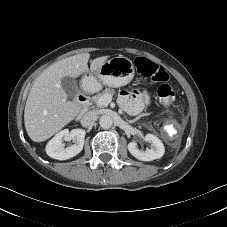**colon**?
<instances>
[{"label":"colon","instance_id":"1","mask_svg":"<svg viewBox=\"0 0 227 227\" xmlns=\"http://www.w3.org/2000/svg\"><path fill=\"white\" fill-rule=\"evenodd\" d=\"M136 68L140 75L161 83L157 90V96L163 105L170 106L174 103L175 92L172 87L166 83L168 74L162 67L140 57L136 60Z\"/></svg>","mask_w":227,"mask_h":227}]
</instances>
